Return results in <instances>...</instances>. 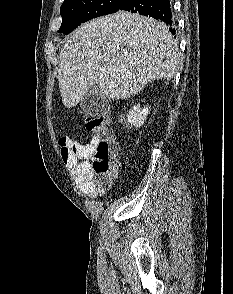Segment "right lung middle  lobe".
I'll use <instances>...</instances> for the list:
<instances>
[{"label":"right lung middle lobe","instance_id":"obj_1","mask_svg":"<svg viewBox=\"0 0 233 294\" xmlns=\"http://www.w3.org/2000/svg\"><path fill=\"white\" fill-rule=\"evenodd\" d=\"M125 0H64L59 33L69 34L83 22L117 12Z\"/></svg>","mask_w":233,"mask_h":294}]
</instances>
